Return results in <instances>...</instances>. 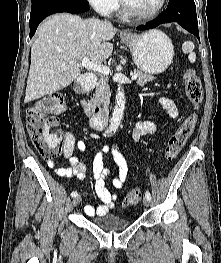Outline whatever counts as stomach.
Returning <instances> with one entry per match:
<instances>
[{"label": "stomach", "mask_w": 221, "mask_h": 263, "mask_svg": "<svg viewBox=\"0 0 221 263\" xmlns=\"http://www.w3.org/2000/svg\"><path fill=\"white\" fill-rule=\"evenodd\" d=\"M123 42L129 47L135 65L148 74H160L171 64L174 46L170 38L159 30L141 35L131 34Z\"/></svg>", "instance_id": "obj_1"}]
</instances>
